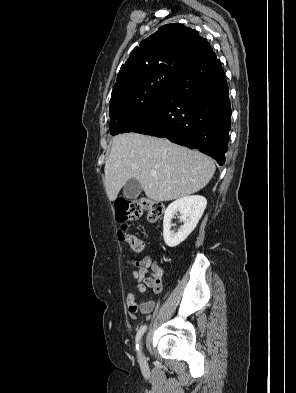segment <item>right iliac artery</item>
Returning a JSON list of instances; mask_svg holds the SVG:
<instances>
[{
    "label": "right iliac artery",
    "instance_id": "82829eb1",
    "mask_svg": "<svg viewBox=\"0 0 296 393\" xmlns=\"http://www.w3.org/2000/svg\"><path fill=\"white\" fill-rule=\"evenodd\" d=\"M146 330V325L141 326L136 334V350L139 353V341Z\"/></svg>",
    "mask_w": 296,
    "mask_h": 393
}]
</instances>
